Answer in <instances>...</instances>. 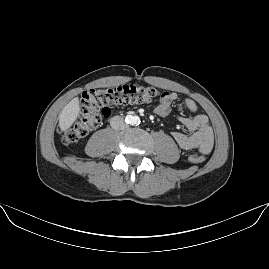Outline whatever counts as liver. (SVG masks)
I'll list each match as a JSON object with an SVG mask.
<instances>
[{"mask_svg": "<svg viewBox=\"0 0 269 269\" xmlns=\"http://www.w3.org/2000/svg\"><path fill=\"white\" fill-rule=\"evenodd\" d=\"M78 115V99L73 98L61 111L59 125L61 129L68 128Z\"/></svg>", "mask_w": 269, "mask_h": 269, "instance_id": "liver-1", "label": "liver"}]
</instances>
